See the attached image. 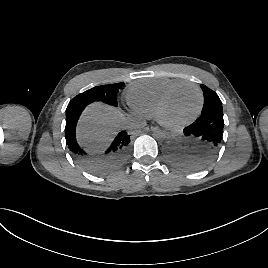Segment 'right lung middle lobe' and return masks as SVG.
Segmentation results:
<instances>
[{"instance_id":"dd1d6c3e","label":"right lung middle lobe","mask_w":268,"mask_h":268,"mask_svg":"<svg viewBox=\"0 0 268 268\" xmlns=\"http://www.w3.org/2000/svg\"><path fill=\"white\" fill-rule=\"evenodd\" d=\"M123 83H116L110 85H101L91 88L76 97H74L68 105L76 103L87 102L92 103L95 101H102L104 103L117 106V93Z\"/></svg>"}]
</instances>
